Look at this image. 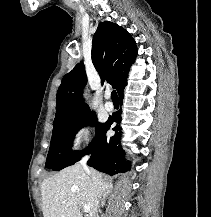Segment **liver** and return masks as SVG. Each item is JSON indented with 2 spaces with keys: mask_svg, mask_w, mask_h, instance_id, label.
Instances as JSON below:
<instances>
[{
  "mask_svg": "<svg viewBox=\"0 0 211 217\" xmlns=\"http://www.w3.org/2000/svg\"><path fill=\"white\" fill-rule=\"evenodd\" d=\"M111 188L100 172L85 170L81 163L69 166L42 182L43 216L83 217L81 207L88 205V217H94L99 199Z\"/></svg>",
  "mask_w": 211,
  "mask_h": 217,
  "instance_id": "1",
  "label": "liver"
}]
</instances>
